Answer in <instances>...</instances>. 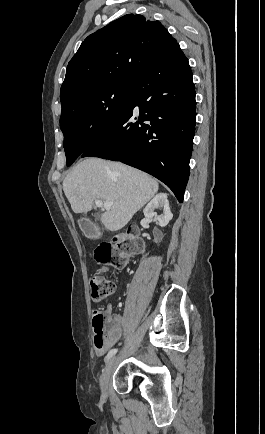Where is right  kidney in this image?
I'll return each instance as SVG.
<instances>
[{
	"label": "right kidney",
	"mask_w": 265,
	"mask_h": 434,
	"mask_svg": "<svg viewBox=\"0 0 265 434\" xmlns=\"http://www.w3.org/2000/svg\"><path fill=\"white\" fill-rule=\"evenodd\" d=\"M168 194H156L153 200L147 204L146 208H144V216L148 218V220H157L159 226L161 228H165L167 224H169L170 220L173 218L172 212H170L169 202L167 200ZM158 208H162L163 214L161 216H157L155 210Z\"/></svg>",
	"instance_id": "right-kidney-1"
}]
</instances>
